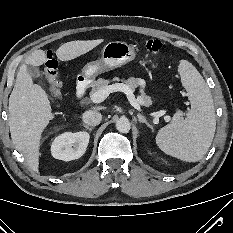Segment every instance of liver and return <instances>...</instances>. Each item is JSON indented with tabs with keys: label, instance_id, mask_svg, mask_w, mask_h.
<instances>
[{
	"label": "liver",
	"instance_id": "liver-1",
	"mask_svg": "<svg viewBox=\"0 0 233 233\" xmlns=\"http://www.w3.org/2000/svg\"><path fill=\"white\" fill-rule=\"evenodd\" d=\"M103 39L71 41L61 45L56 56L61 61L73 60L101 44ZM47 61L45 51L32 52L17 73L9 98V128L15 148L21 152L29 167L39 172L41 134L55 118L47 93L33 83L27 66H41Z\"/></svg>",
	"mask_w": 233,
	"mask_h": 233
}]
</instances>
